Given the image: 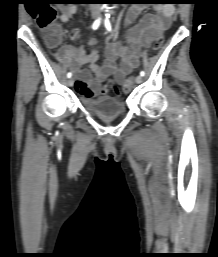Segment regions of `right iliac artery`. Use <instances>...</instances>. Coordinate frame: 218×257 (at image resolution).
Returning a JSON list of instances; mask_svg holds the SVG:
<instances>
[{
  "label": "right iliac artery",
  "mask_w": 218,
  "mask_h": 257,
  "mask_svg": "<svg viewBox=\"0 0 218 257\" xmlns=\"http://www.w3.org/2000/svg\"><path fill=\"white\" fill-rule=\"evenodd\" d=\"M100 20H101L100 18H98L97 20H95V22H94L93 25H92L93 30H96V29L99 27L100 22H101ZM71 76H72V73H71V72H68L67 77L70 78Z\"/></svg>",
  "instance_id": "82829eb1"
}]
</instances>
